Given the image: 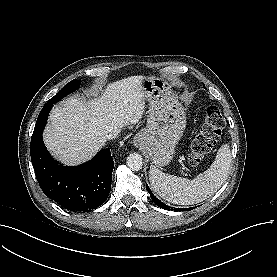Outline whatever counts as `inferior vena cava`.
Instances as JSON below:
<instances>
[{
	"mask_svg": "<svg viewBox=\"0 0 277 277\" xmlns=\"http://www.w3.org/2000/svg\"><path fill=\"white\" fill-rule=\"evenodd\" d=\"M118 133L116 131H111L108 135H107V139L109 140H113L117 137Z\"/></svg>",
	"mask_w": 277,
	"mask_h": 277,
	"instance_id": "obj_1",
	"label": "inferior vena cava"
}]
</instances>
